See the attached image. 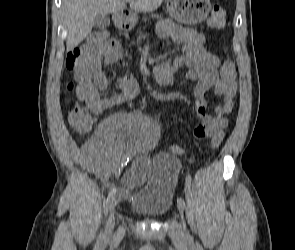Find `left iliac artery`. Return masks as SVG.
<instances>
[{"instance_id":"44dca946","label":"left iliac artery","mask_w":295,"mask_h":250,"mask_svg":"<svg viewBox=\"0 0 295 250\" xmlns=\"http://www.w3.org/2000/svg\"><path fill=\"white\" fill-rule=\"evenodd\" d=\"M177 202H178V205L183 207V209L185 208V201L181 197L177 198Z\"/></svg>"}]
</instances>
